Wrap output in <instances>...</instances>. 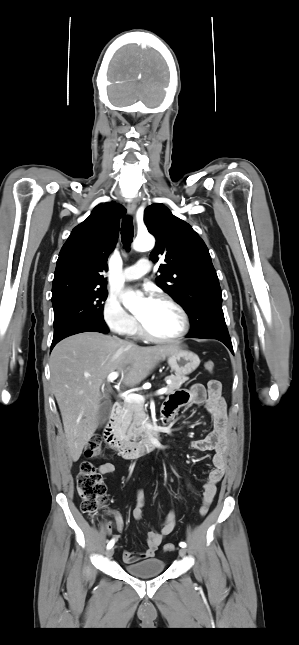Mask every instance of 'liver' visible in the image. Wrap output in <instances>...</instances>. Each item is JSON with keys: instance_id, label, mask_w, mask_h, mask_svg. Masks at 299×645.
Masks as SVG:
<instances>
[{"instance_id": "6515ba94", "label": "liver", "mask_w": 299, "mask_h": 645, "mask_svg": "<svg viewBox=\"0 0 299 645\" xmlns=\"http://www.w3.org/2000/svg\"><path fill=\"white\" fill-rule=\"evenodd\" d=\"M178 344L140 347L115 336L86 332L59 342L50 356L51 386L57 400L67 447L74 462L98 426L101 393L112 372L132 387L143 381Z\"/></svg>"}]
</instances>
